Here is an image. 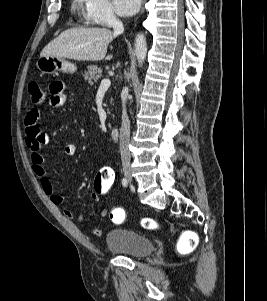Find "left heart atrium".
<instances>
[{
  "instance_id": "left-heart-atrium-1",
  "label": "left heart atrium",
  "mask_w": 267,
  "mask_h": 301,
  "mask_svg": "<svg viewBox=\"0 0 267 301\" xmlns=\"http://www.w3.org/2000/svg\"><path fill=\"white\" fill-rule=\"evenodd\" d=\"M114 4L121 16H131L139 10L141 0H114Z\"/></svg>"
}]
</instances>
